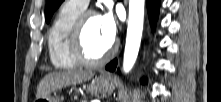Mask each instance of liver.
Here are the masks:
<instances>
[{
  "instance_id": "liver-1",
  "label": "liver",
  "mask_w": 221,
  "mask_h": 102,
  "mask_svg": "<svg viewBox=\"0 0 221 102\" xmlns=\"http://www.w3.org/2000/svg\"><path fill=\"white\" fill-rule=\"evenodd\" d=\"M94 76L92 71L68 70L46 75L37 88V98L47 97L51 92L66 86L86 82Z\"/></svg>"
}]
</instances>
